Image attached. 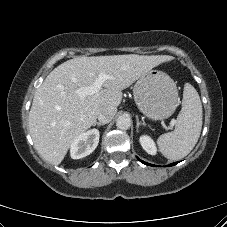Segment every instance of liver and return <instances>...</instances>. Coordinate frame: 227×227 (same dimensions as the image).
<instances>
[{"label": "liver", "instance_id": "obj_1", "mask_svg": "<svg viewBox=\"0 0 227 227\" xmlns=\"http://www.w3.org/2000/svg\"><path fill=\"white\" fill-rule=\"evenodd\" d=\"M170 60L166 55L82 56L57 66L36 90L29 112V131L39 154L59 165L73 141L94 125L103 107L117 109L123 89ZM101 73L112 77L103 83L104 89L78 96L77 90L92 85Z\"/></svg>", "mask_w": 227, "mask_h": 227}]
</instances>
